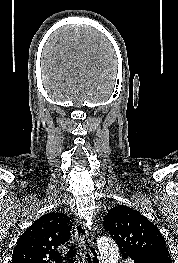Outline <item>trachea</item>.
<instances>
[{"instance_id": "trachea-1", "label": "trachea", "mask_w": 178, "mask_h": 263, "mask_svg": "<svg viewBox=\"0 0 178 263\" xmlns=\"http://www.w3.org/2000/svg\"><path fill=\"white\" fill-rule=\"evenodd\" d=\"M76 247H77V245L74 242V244L72 245L71 249L67 253V257L66 258L68 260V263H74V261H76V255H78L77 254L78 248H76Z\"/></svg>"}]
</instances>
